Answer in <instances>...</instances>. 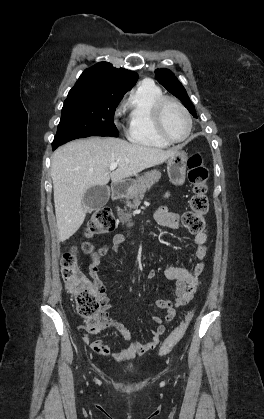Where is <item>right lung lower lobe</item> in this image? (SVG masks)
I'll use <instances>...</instances> for the list:
<instances>
[{
	"instance_id": "1",
	"label": "right lung lower lobe",
	"mask_w": 264,
	"mask_h": 419,
	"mask_svg": "<svg viewBox=\"0 0 264 419\" xmlns=\"http://www.w3.org/2000/svg\"><path fill=\"white\" fill-rule=\"evenodd\" d=\"M57 147H59V146H54V147H52V148H53V150H55Z\"/></svg>"
}]
</instances>
